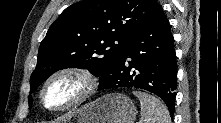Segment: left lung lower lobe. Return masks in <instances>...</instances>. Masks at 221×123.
Returning a JSON list of instances; mask_svg holds the SVG:
<instances>
[{"label":"left lung lower lobe","mask_w":221,"mask_h":123,"mask_svg":"<svg viewBox=\"0 0 221 123\" xmlns=\"http://www.w3.org/2000/svg\"><path fill=\"white\" fill-rule=\"evenodd\" d=\"M99 81L98 90L135 87L154 93L174 114L177 61L169 21L159 3Z\"/></svg>","instance_id":"1"}]
</instances>
